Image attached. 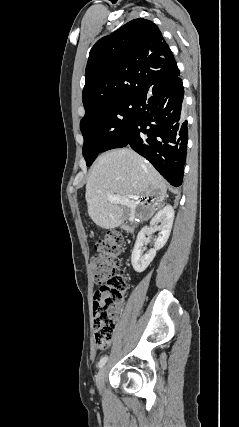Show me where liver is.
I'll list each match as a JSON object with an SVG mask.
<instances>
[{
    "label": "liver",
    "mask_w": 239,
    "mask_h": 427,
    "mask_svg": "<svg viewBox=\"0 0 239 427\" xmlns=\"http://www.w3.org/2000/svg\"><path fill=\"white\" fill-rule=\"evenodd\" d=\"M167 186L164 178L144 158L129 148L106 152L92 165L86 184L88 214L104 229L120 226L129 215H135V204H115L108 195L142 197L156 195L155 205L162 207ZM152 206V212L154 206Z\"/></svg>",
    "instance_id": "liver-1"
}]
</instances>
